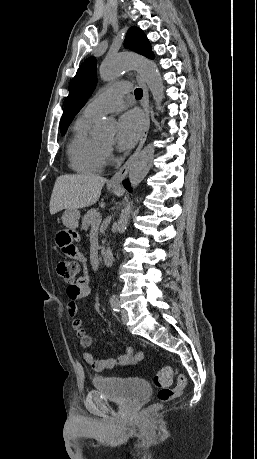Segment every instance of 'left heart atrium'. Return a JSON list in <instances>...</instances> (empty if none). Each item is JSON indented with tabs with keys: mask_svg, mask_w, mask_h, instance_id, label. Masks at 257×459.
<instances>
[{
	"mask_svg": "<svg viewBox=\"0 0 257 459\" xmlns=\"http://www.w3.org/2000/svg\"><path fill=\"white\" fill-rule=\"evenodd\" d=\"M144 122L138 111L132 110L123 114L118 122L116 143L119 150H128L138 141Z\"/></svg>",
	"mask_w": 257,
	"mask_h": 459,
	"instance_id": "39dd6f15",
	"label": "left heart atrium"
}]
</instances>
